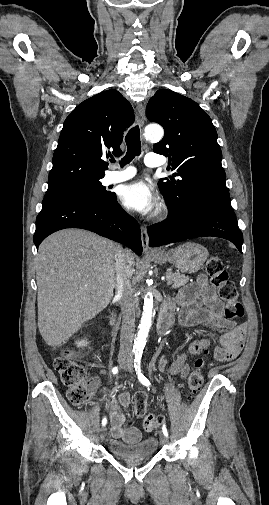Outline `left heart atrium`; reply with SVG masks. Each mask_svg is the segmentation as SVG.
<instances>
[{
	"mask_svg": "<svg viewBox=\"0 0 269 505\" xmlns=\"http://www.w3.org/2000/svg\"><path fill=\"white\" fill-rule=\"evenodd\" d=\"M120 199L126 208L142 214L153 211L158 203L153 188L143 181L124 186Z\"/></svg>",
	"mask_w": 269,
	"mask_h": 505,
	"instance_id": "obj_1",
	"label": "left heart atrium"
}]
</instances>
